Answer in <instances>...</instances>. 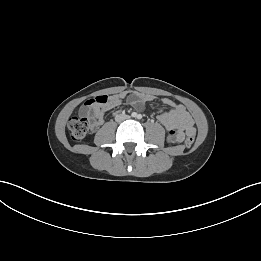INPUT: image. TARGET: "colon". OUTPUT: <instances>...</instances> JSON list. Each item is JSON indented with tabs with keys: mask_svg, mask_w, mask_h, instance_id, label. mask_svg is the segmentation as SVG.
Returning <instances> with one entry per match:
<instances>
[{
	"mask_svg": "<svg viewBox=\"0 0 261 261\" xmlns=\"http://www.w3.org/2000/svg\"><path fill=\"white\" fill-rule=\"evenodd\" d=\"M108 96L101 95L90 99L88 102L94 103H104L107 101ZM91 122L87 115L81 114L79 116H74L70 118L68 122V129L70 131V136L74 141H81L85 138L89 132ZM194 142V135L190 134L186 137L184 145L186 148H190Z\"/></svg>",
	"mask_w": 261,
	"mask_h": 261,
	"instance_id": "colon-1",
	"label": "colon"
}]
</instances>
